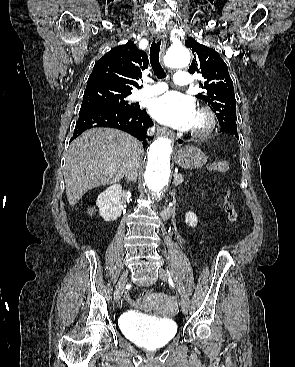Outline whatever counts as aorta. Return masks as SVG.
<instances>
[{
    "instance_id": "762f6f07",
    "label": "aorta",
    "mask_w": 295,
    "mask_h": 367,
    "mask_svg": "<svg viewBox=\"0 0 295 367\" xmlns=\"http://www.w3.org/2000/svg\"><path fill=\"white\" fill-rule=\"evenodd\" d=\"M191 56L184 46L173 47L166 53L164 62L170 68H184ZM173 141L168 137L157 138L149 147L144 179L147 190L155 197L161 196L170 181V154Z\"/></svg>"
}]
</instances>
